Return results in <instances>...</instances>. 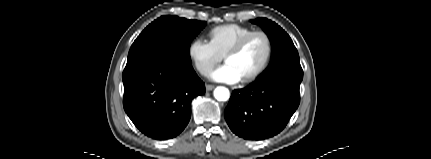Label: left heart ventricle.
<instances>
[{"label": "left heart ventricle", "mask_w": 431, "mask_h": 159, "mask_svg": "<svg viewBox=\"0 0 431 159\" xmlns=\"http://www.w3.org/2000/svg\"><path fill=\"white\" fill-rule=\"evenodd\" d=\"M267 52L266 41L262 36L253 37L237 55L226 59L241 79L251 75L263 63Z\"/></svg>", "instance_id": "obj_1"}]
</instances>
